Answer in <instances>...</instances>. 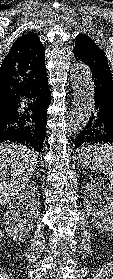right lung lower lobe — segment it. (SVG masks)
I'll use <instances>...</instances> for the list:
<instances>
[{"instance_id": "obj_1", "label": "right lung lower lobe", "mask_w": 113, "mask_h": 279, "mask_svg": "<svg viewBox=\"0 0 113 279\" xmlns=\"http://www.w3.org/2000/svg\"><path fill=\"white\" fill-rule=\"evenodd\" d=\"M22 97L29 100L25 112L18 110V99L10 116L0 121V142H17L42 152L46 134L47 108L51 101L47 74L43 75Z\"/></svg>"}]
</instances>
